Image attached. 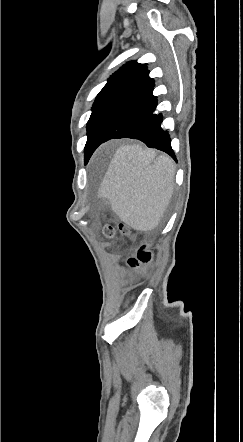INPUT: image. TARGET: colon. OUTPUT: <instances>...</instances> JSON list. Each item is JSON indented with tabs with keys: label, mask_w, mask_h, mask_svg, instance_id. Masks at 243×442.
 Masks as SVG:
<instances>
[{
	"label": "colon",
	"mask_w": 243,
	"mask_h": 442,
	"mask_svg": "<svg viewBox=\"0 0 243 442\" xmlns=\"http://www.w3.org/2000/svg\"><path fill=\"white\" fill-rule=\"evenodd\" d=\"M119 231L123 235L128 234V229L125 225L121 224L119 226ZM104 235L107 239L117 238L116 230L112 226H106L104 228ZM151 259H152V253L149 251V249L146 246H142L138 249L136 255L128 259L127 263L132 269L138 270L142 266H145L148 263H150Z\"/></svg>",
	"instance_id": "colon-1"
}]
</instances>
